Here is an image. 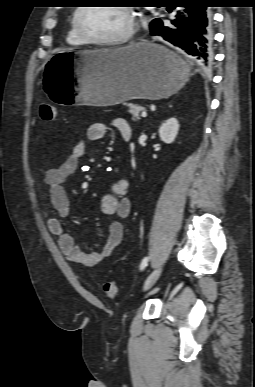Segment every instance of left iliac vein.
Wrapping results in <instances>:
<instances>
[{
  "mask_svg": "<svg viewBox=\"0 0 255 387\" xmlns=\"http://www.w3.org/2000/svg\"><path fill=\"white\" fill-rule=\"evenodd\" d=\"M161 274V268L155 269L145 280L143 289L146 291L150 289L158 280L159 276Z\"/></svg>",
  "mask_w": 255,
  "mask_h": 387,
  "instance_id": "1",
  "label": "left iliac vein"
}]
</instances>
